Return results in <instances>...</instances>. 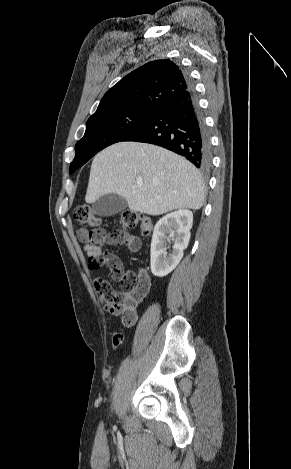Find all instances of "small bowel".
<instances>
[{"mask_svg":"<svg viewBox=\"0 0 291 469\" xmlns=\"http://www.w3.org/2000/svg\"><path fill=\"white\" fill-rule=\"evenodd\" d=\"M78 239L83 244L82 249L85 252V254L89 257V259L93 257H103L105 260V263L108 264L109 266L111 265L121 266V262L117 256H115L114 254L110 252L103 251V249L99 245H96L90 242L87 239L86 232L83 229L79 230ZM109 244L111 245L125 244L130 251L136 252L140 248V239L137 236L129 234L124 242H120V243L110 242ZM99 282H106V281L101 278L94 279L95 286ZM138 285L139 287L145 288L146 294L148 293L150 289V281L145 274H141ZM101 301L104 304V307L106 310L114 313L113 309L115 305L113 302L107 300L102 294H101Z\"/></svg>","mask_w":291,"mask_h":469,"instance_id":"c3829d8e","label":"small bowel"}]
</instances>
